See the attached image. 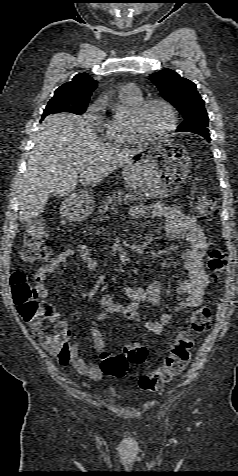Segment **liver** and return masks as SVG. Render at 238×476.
Wrapping results in <instances>:
<instances>
[{
  "instance_id": "obj_1",
  "label": "liver",
  "mask_w": 238,
  "mask_h": 476,
  "mask_svg": "<svg viewBox=\"0 0 238 476\" xmlns=\"http://www.w3.org/2000/svg\"><path fill=\"white\" fill-rule=\"evenodd\" d=\"M34 143L19 187L20 222L43 212L51 193L68 196L78 182L98 183L143 151L103 143L86 120L73 114L47 116Z\"/></svg>"
}]
</instances>
